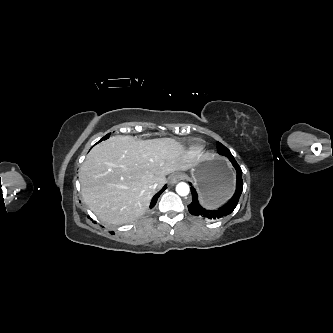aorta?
Returning <instances> with one entry per match:
<instances>
[{
    "label": "aorta",
    "mask_w": 333,
    "mask_h": 333,
    "mask_svg": "<svg viewBox=\"0 0 333 333\" xmlns=\"http://www.w3.org/2000/svg\"><path fill=\"white\" fill-rule=\"evenodd\" d=\"M190 188L188 186V184L181 182L179 184H177L176 186V192L180 195V196H186L189 194Z\"/></svg>",
    "instance_id": "aorta-1"
}]
</instances>
